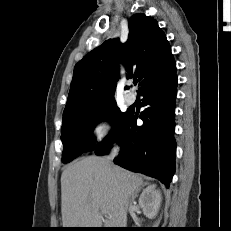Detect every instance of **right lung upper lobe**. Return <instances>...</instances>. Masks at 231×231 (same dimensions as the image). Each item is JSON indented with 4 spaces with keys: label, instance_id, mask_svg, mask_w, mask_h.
<instances>
[{
    "label": "right lung upper lobe",
    "instance_id": "obj_1",
    "mask_svg": "<svg viewBox=\"0 0 231 231\" xmlns=\"http://www.w3.org/2000/svg\"><path fill=\"white\" fill-rule=\"evenodd\" d=\"M118 61L125 65L129 75L138 77L139 91L176 73L171 47L158 22L145 14H134L129 20L125 43L106 40L75 65L63 115L113 101Z\"/></svg>",
    "mask_w": 231,
    "mask_h": 231
}]
</instances>
